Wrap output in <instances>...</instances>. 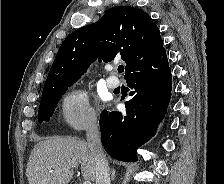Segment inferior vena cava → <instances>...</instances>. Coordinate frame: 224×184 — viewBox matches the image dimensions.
I'll use <instances>...</instances> for the list:
<instances>
[{"instance_id": "1", "label": "inferior vena cava", "mask_w": 224, "mask_h": 184, "mask_svg": "<svg viewBox=\"0 0 224 184\" xmlns=\"http://www.w3.org/2000/svg\"><path fill=\"white\" fill-rule=\"evenodd\" d=\"M86 131L87 143L95 159L96 184H110L109 165L101 144L97 121L92 120Z\"/></svg>"}]
</instances>
